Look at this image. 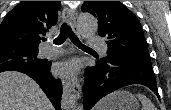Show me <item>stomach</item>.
I'll list each match as a JSON object with an SVG mask.
<instances>
[{"instance_id":"0dacf381","label":"stomach","mask_w":171,"mask_h":110,"mask_svg":"<svg viewBox=\"0 0 171 110\" xmlns=\"http://www.w3.org/2000/svg\"><path fill=\"white\" fill-rule=\"evenodd\" d=\"M99 110H138L139 104L135 96L127 91H117L101 101Z\"/></svg>"}]
</instances>
